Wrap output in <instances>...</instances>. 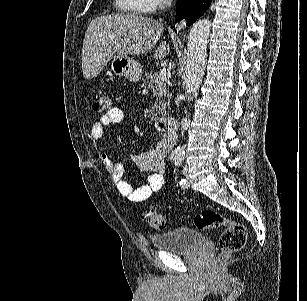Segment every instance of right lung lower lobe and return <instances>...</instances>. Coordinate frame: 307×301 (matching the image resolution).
<instances>
[{
    "instance_id": "obj_1",
    "label": "right lung lower lobe",
    "mask_w": 307,
    "mask_h": 301,
    "mask_svg": "<svg viewBox=\"0 0 307 301\" xmlns=\"http://www.w3.org/2000/svg\"><path fill=\"white\" fill-rule=\"evenodd\" d=\"M212 0H179L176 3L175 21L186 18L187 25L193 24L209 8Z\"/></svg>"
}]
</instances>
